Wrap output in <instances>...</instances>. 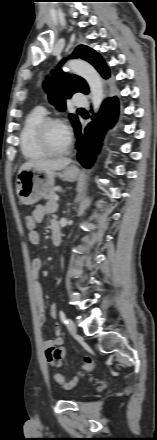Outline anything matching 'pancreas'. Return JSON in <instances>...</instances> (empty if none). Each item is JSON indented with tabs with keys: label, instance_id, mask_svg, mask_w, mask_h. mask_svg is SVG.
<instances>
[{
	"label": "pancreas",
	"instance_id": "cf45deb5",
	"mask_svg": "<svg viewBox=\"0 0 157 440\" xmlns=\"http://www.w3.org/2000/svg\"><path fill=\"white\" fill-rule=\"evenodd\" d=\"M56 191H60V188L59 187H55V188H53L46 196H45V199H47L48 201H49V203H53L55 200H54V196H56V194H55V192Z\"/></svg>",
	"mask_w": 157,
	"mask_h": 440
}]
</instances>
